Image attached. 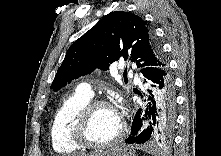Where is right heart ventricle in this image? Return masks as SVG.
Returning <instances> with one entry per match:
<instances>
[{"label": "right heart ventricle", "mask_w": 221, "mask_h": 156, "mask_svg": "<svg viewBox=\"0 0 221 156\" xmlns=\"http://www.w3.org/2000/svg\"><path fill=\"white\" fill-rule=\"evenodd\" d=\"M91 100V97L80 91L69 95L54 114L50 130L51 145L59 154H71L81 147L76 145L70 136L71 124L80 109Z\"/></svg>", "instance_id": "right-heart-ventricle-1"}]
</instances>
